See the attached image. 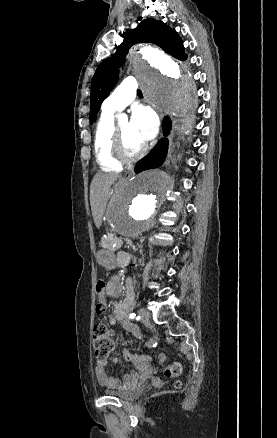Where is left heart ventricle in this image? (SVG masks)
Wrapping results in <instances>:
<instances>
[{
    "label": "left heart ventricle",
    "mask_w": 277,
    "mask_h": 438,
    "mask_svg": "<svg viewBox=\"0 0 277 438\" xmlns=\"http://www.w3.org/2000/svg\"><path fill=\"white\" fill-rule=\"evenodd\" d=\"M119 130L123 137L127 153L131 156L140 153L142 151V148L132 131L131 124H129L128 122L119 124Z\"/></svg>",
    "instance_id": "b2bd125f"
}]
</instances>
